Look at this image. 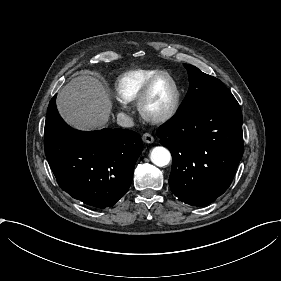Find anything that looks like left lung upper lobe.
I'll return each mask as SVG.
<instances>
[{
	"label": "left lung upper lobe",
	"instance_id": "1",
	"mask_svg": "<svg viewBox=\"0 0 281 281\" xmlns=\"http://www.w3.org/2000/svg\"><path fill=\"white\" fill-rule=\"evenodd\" d=\"M189 75V90L178 112L235 100L227 87L217 78L203 73L195 66L183 64Z\"/></svg>",
	"mask_w": 281,
	"mask_h": 281
}]
</instances>
